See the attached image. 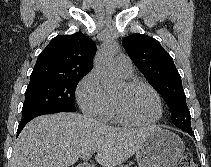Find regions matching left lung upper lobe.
I'll return each mask as SVG.
<instances>
[{
    "label": "left lung upper lobe",
    "instance_id": "1",
    "mask_svg": "<svg viewBox=\"0 0 211 167\" xmlns=\"http://www.w3.org/2000/svg\"><path fill=\"white\" fill-rule=\"evenodd\" d=\"M123 46L136 67L167 103L173 124L182 130L191 129L181 77L172 57L157 40L147 35L125 37Z\"/></svg>",
    "mask_w": 211,
    "mask_h": 167
}]
</instances>
